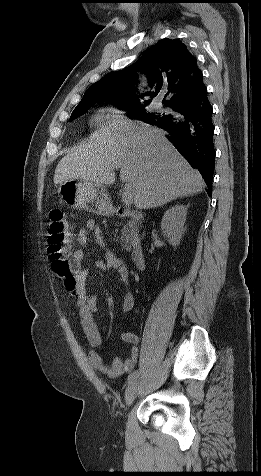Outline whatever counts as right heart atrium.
I'll use <instances>...</instances> for the list:
<instances>
[{
    "label": "right heart atrium",
    "instance_id": "1",
    "mask_svg": "<svg viewBox=\"0 0 261 476\" xmlns=\"http://www.w3.org/2000/svg\"><path fill=\"white\" fill-rule=\"evenodd\" d=\"M108 112H109V117L114 120L122 118L123 115L125 114L124 110L120 108H116V107L110 108Z\"/></svg>",
    "mask_w": 261,
    "mask_h": 476
}]
</instances>
